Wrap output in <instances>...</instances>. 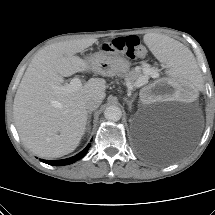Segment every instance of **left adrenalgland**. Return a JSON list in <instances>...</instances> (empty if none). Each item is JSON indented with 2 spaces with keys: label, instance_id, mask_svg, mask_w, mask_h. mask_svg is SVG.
Returning a JSON list of instances; mask_svg holds the SVG:
<instances>
[{
  "label": "left adrenal gland",
  "instance_id": "left-adrenal-gland-1",
  "mask_svg": "<svg viewBox=\"0 0 215 215\" xmlns=\"http://www.w3.org/2000/svg\"><path fill=\"white\" fill-rule=\"evenodd\" d=\"M129 107V109L131 110L132 109V103L134 102V98L131 99V100H128L127 98L124 99Z\"/></svg>",
  "mask_w": 215,
  "mask_h": 215
}]
</instances>
